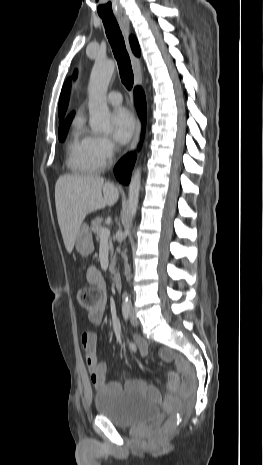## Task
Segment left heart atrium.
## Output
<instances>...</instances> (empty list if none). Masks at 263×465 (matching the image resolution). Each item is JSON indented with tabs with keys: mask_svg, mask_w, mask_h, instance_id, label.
<instances>
[{
	"mask_svg": "<svg viewBox=\"0 0 263 465\" xmlns=\"http://www.w3.org/2000/svg\"><path fill=\"white\" fill-rule=\"evenodd\" d=\"M111 124L114 138L120 143H127L135 130V121L129 110L116 108L111 114Z\"/></svg>",
	"mask_w": 263,
	"mask_h": 465,
	"instance_id": "obj_1",
	"label": "left heart atrium"
}]
</instances>
